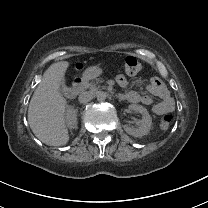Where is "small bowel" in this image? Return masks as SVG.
<instances>
[{"mask_svg":"<svg viewBox=\"0 0 208 208\" xmlns=\"http://www.w3.org/2000/svg\"><path fill=\"white\" fill-rule=\"evenodd\" d=\"M116 82L122 88L128 86V79L124 74H119L116 77ZM146 89L151 95L159 97L160 101L155 102L151 96L142 95L135 90H128L125 93V98L131 103H142L143 105L151 106L152 111L157 115L173 111L174 100L161 79L158 77L150 78L146 85Z\"/></svg>","mask_w":208,"mask_h":208,"instance_id":"1","label":"small bowel"}]
</instances>
